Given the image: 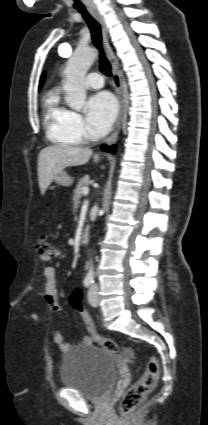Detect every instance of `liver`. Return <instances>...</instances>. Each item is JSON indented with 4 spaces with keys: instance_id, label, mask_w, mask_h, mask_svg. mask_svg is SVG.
<instances>
[{
    "instance_id": "6515ba94",
    "label": "liver",
    "mask_w": 208,
    "mask_h": 425,
    "mask_svg": "<svg viewBox=\"0 0 208 425\" xmlns=\"http://www.w3.org/2000/svg\"><path fill=\"white\" fill-rule=\"evenodd\" d=\"M88 148L70 145H53L43 148L38 156V181L41 194H44L54 178L66 167L86 164L92 156ZM100 160L94 154V162Z\"/></svg>"
}]
</instances>
